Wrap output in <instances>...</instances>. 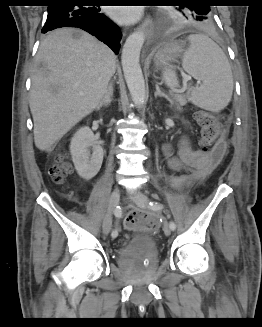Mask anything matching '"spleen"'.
<instances>
[{"label":"spleen","instance_id":"obj_1","mask_svg":"<svg viewBox=\"0 0 262 327\" xmlns=\"http://www.w3.org/2000/svg\"><path fill=\"white\" fill-rule=\"evenodd\" d=\"M189 47L183 54L182 67L195 79L202 81L200 87L188 90V99L194 105L219 112L231 100L233 76L229 61L222 49L208 36L193 34L187 37ZM165 84L178 87V80L171 67L165 69Z\"/></svg>","mask_w":262,"mask_h":327}]
</instances>
